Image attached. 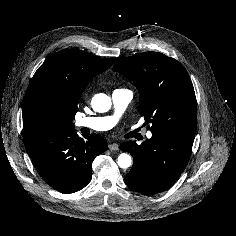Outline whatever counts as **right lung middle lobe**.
<instances>
[{
    "instance_id": "dd1d6c3e",
    "label": "right lung middle lobe",
    "mask_w": 236,
    "mask_h": 236,
    "mask_svg": "<svg viewBox=\"0 0 236 236\" xmlns=\"http://www.w3.org/2000/svg\"><path fill=\"white\" fill-rule=\"evenodd\" d=\"M39 122L48 131H62L65 127L60 118L48 109H44L39 114Z\"/></svg>"
}]
</instances>
